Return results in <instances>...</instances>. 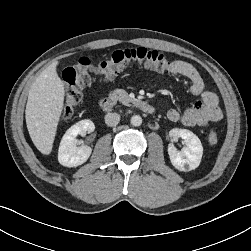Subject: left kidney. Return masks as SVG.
I'll return each mask as SVG.
<instances>
[{"mask_svg": "<svg viewBox=\"0 0 251 251\" xmlns=\"http://www.w3.org/2000/svg\"><path fill=\"white\" fill-rule=\"evenodd\" d=\"M172 141L182 138L185 147L178 151L172 144L168 146V153L172 165L179 171H191L196 169L201 162L203 147L200 139L187 129L174 128L169 132Z\"/></svg>", "mask_w": 251, "mask_h": 251, "instance_id": "5707ae66", "label": "left kidney"}]
</instances>
